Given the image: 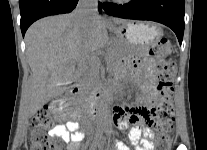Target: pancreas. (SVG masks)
<instances>
[{
	"label": "pancreas",
	"mask_w": 207,
	"mask_h": 150,
	"mask_svg": "<svg viewBox=\"0 0 207 150\" xmlns=\"http://www.w3.org/2000/svg\"><path fill=\"white\" fill-rule=\"evenodd\" d=\"M120 57V52L117 48H112L106 55V62L108 65H113L115 61ZM92 68L90 72L84 77V82L87 86H93L98 78V62L94 59L91 63Z\"/></svg>",
	"instance_id": "cf45deb5"
}]
</instances>
